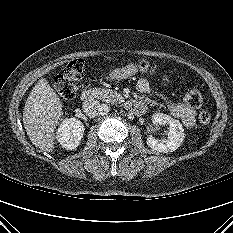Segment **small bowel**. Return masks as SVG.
<instances>
[{
	"label": "small bowel",
	"instance_id": "c3829d8e",
	"mask_svg": "<svg viewBox=\"0 0 233 233\" xmlns=\"http://www.w3.org/2000/svg\"><path fill=\"white\" fill-rule=\"evenodd\" d=\"M150 89L149 82L141 78L137 82V90L139 92H148ZM168 108L171 114L180 119L186 127H192L195 124L196 111L186 102L170 103Z\"/></svg>",
	"mask_w": 233,
	"mask_h": 233
}]
</instances>
